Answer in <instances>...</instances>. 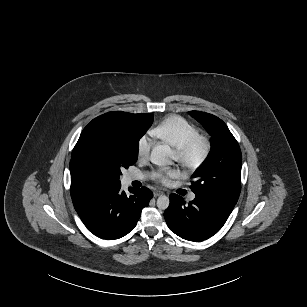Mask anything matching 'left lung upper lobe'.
Returning <instances> with one entry per match:
<instances>
[{
    "label": "left lung upper lobe",
    "mask_w": 307,
    "mask_h": 307,
    "mask_svg": "<svg viewBox=\"0 0 307 307\" xmlns=\"http://www.w3.org/2000/svg\"><path fill=\"white\" fill-rule=\"evenodd\" d=\"M189 114L211 135L210 153L194 173L191 190L199 198L233 209L241 190L239 145L218 117L200 111H190Z\"/></svg>",
    "instance_id": "left-lung-upper-lobe-1"
}]
</instances>
